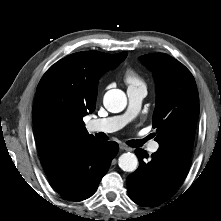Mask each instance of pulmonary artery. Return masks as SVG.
Returning <instances> with one entry per match:
<instances>
[{
    "instance_id": "1",
    "label": "pulmonary artery",
    "mask_w": 221,
    "mask_h": 221,
    "mask_svg": "<svg viewBox=\"0 0 221 221\" xmlns=\"http://www.w3.org/2000/svg\"><path fill=\"white\" fill-rule=\"evenodd\" d=\"M146 95V88L144 86H129L127 89L128 108L127 110L117 116L95 119L88 123V129L95 132L111 133L123 128L138 114L141 103ZM159 149L157 142H152L149 145V151L154 153Z\"/></svg>"
}]
</instances>
